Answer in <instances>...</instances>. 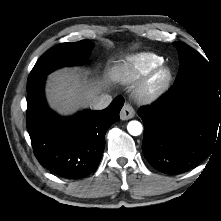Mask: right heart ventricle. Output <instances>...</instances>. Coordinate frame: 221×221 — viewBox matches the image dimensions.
Masks as SVG:
<instances>
[{
    "mask_svg": "<svg viewBox=\"0 0 221 221\" xmlns=\"http://www.w3.org/2000/svg\"><path fill=\"white\" fill-rule=\"evenodd\" d=\"M163 61V57L152 52L129 55L115 65L113 75L124 84L134 83Z\"/></svg>",
    "mask_w": 221,
    "mask_h": 221,
    "instance_id": "e07e8e85",
    "label": "right heart ventricle"
}]
</instances>
